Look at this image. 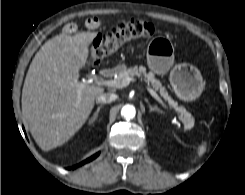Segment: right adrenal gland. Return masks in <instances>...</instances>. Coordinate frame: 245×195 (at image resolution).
Instances as JSON below:
<instances>
[{"mask_svg":"<svg viewBox=\"0 0 245 195\" xmlns=\"http://www.w3.org/2000/svg\"><path fill=\"white\" fill-rule=\"evenodd\" d=\"M103 107V105H100L98 106L96 112L94 113L93 117L91 118V120L89 121V124H93L96 120H97V117H98V113L100 111V109Z\"/></svg>","mask_w":245,"mask_h":195,"instance_id":"right-adrenal-gland-1","label":"right adrenal gland"}]
</instances>
